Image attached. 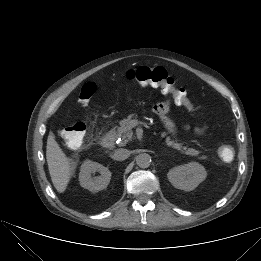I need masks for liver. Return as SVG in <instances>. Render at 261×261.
<instances>
[{
	"label": "liver",
	"mask_w": 261,
	"mask_h": 261,
	"mask_svg": "<svg viewBox=\"0 0 261 261\" xmlns=\"http://www.w3.org/2000/svg\"><path fill=\"white\" fill-rule=\"evenodd\" d=\"M46 159L52 183L59 193H63L72 175V165L52 133L47 139Z\"/></svg>",
	"instance_id": "1"
}]
</instances>
